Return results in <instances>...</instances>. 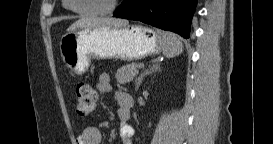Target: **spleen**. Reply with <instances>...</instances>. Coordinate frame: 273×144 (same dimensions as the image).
I'll list each match as a JSON object with an SVG mask.
<instances>
[{
    "label": "spleen",
    "instance_id": "1",
    "mask_svg": "<svg viewBox=\"0 0 273 144\" xmlns=\"http://www.w3.org/2000/svg\"><path fill=\"white\" fill-rule=\"evenodd\" d=\"M157 32L163 46V54L166 57L172 58L182 53L183 46L180 38L176 34L160 30H158Z\"/></svg>",
    "mask_w": 273,
    "mask_h": 144
}]
</instances>
